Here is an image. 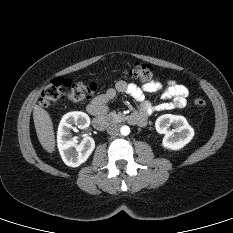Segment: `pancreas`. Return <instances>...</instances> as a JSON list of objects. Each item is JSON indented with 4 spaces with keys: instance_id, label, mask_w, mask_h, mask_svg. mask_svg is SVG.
<instances>
[{
    "instance_id": "1",
    "label": "pancreas",
    "mask_w": 233,
    "mask_h": 233,
    "mask_svg": "<svg viewBox=\"0 0 233 233\" xmlns=\"http://www.w3.org/2000/svg\"><path fill=\"white\" fill-rule=\"evenodd\" d=\"M110 117H112L115 121H121L122 120V115L121 114H116L115 112H111L109 114Z\"/></svg>"
}]
</instances>
